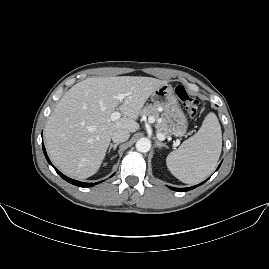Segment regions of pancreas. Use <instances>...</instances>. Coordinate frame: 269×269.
I'll use <instances>...</instances> for the list:
<instances>
[{
    "label": "pancreas",
    "mask_w": 269,
    "mask_h": 269,
    "mask_svg": "<svg viewBox=\"0 0 269 269\" xmlns=\"http://www.w3.org/2000/svg\"><path fill=\"white\" fill-rule=\"evenodd\" d=\"M158 108H159L158 104H148L141 110L140 114L145 116H153L155 120L161 117L162 121L160 123L156 121L155 123L156 131L157 133L169 135L170 129L167 120L163 115H160Z\"/></svg>",
    "instance_id": "obj_1"
}]
</instances>
